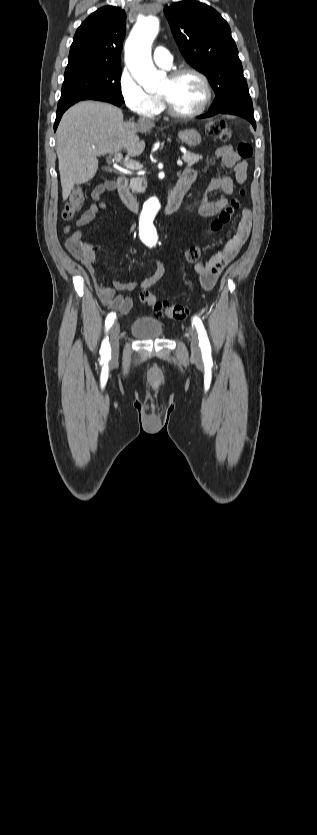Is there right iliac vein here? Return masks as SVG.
<instances>
[{"instance_id":"1","label":"right iliac vein","mask_w":317,"mask_h":835,"mask_svg":"<svg viewBox=\"0 0 317 835\" xmlns=\"http://www.w3.org/2000/svg\"><path fill=\"white\" fill-rule=\"evenodd\" d=\"M119 334L120 326L119 323L116 322L113 324L110 331V344L113 355H116L119 350Z\"/></svg>"}]
</instances>
